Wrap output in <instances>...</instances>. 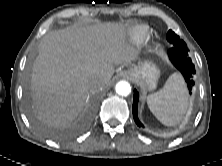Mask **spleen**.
Instances as JSON below:
<instances>
[{"label":"spleen","instance_id":"obj_1","mask_svg":"<svg viewBox=\"0 0 222 166\" xmlns=\"http://www.w3.org/2000/svg\"><path fill=\"white\" fill-rule=\"evenodd\" d=\"M153 115L164 125L178 124L187 110V89L179 73L172 74L163 88L147 97Z\"/></svg>","mask_w":222,"mask_h":166}]
</instances>
